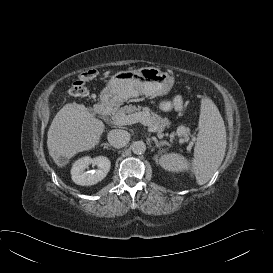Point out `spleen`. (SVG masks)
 <instances>
[{
	"mask_svg": "<svg viewBox=\"0 0 273 273\" xmlns=\"http://www.w3.org/2000/svg\"><path fill=\"white\" fill-rule=\"evenodd\" d=\"M194 158L191 163L180 154L161 156L159 164L171 172L191 170L197 183H207L221 165L226 150V129L223 118L214 102L205 97L201 100Z\"/></svg>",
	"mask_w": 273,
	"mask_h": 273,
	"instance_id": "3e777b00",
	"label": "spleen"
}]
</instances>
